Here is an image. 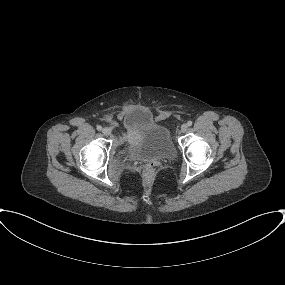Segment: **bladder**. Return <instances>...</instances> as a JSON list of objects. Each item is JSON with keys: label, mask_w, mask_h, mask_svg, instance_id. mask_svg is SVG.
Returning a JSON list of instances; mask_svg holds the SVG:
<instances>
[{"label": "bladder", "mask_w": 285, "mask_h": 285, "mask_svg": "<svg viewBox=\"0 0 285 285\" xmlns=\"http://www.w3.org/2000/svg\"><path fill=\"white\" fill-rule=\"evenodd\" d=\"M126 135L132 136L128 155L132 159H170L175 146L170 131L155 122L148 111L134 109L123 120Z\"/></svg>", "instance_id": "1"}]
</instances>
